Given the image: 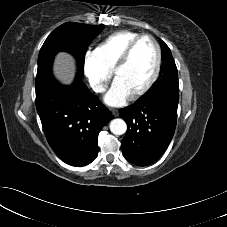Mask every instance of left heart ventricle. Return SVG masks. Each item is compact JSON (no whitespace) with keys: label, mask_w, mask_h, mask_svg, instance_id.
Masks as SVG:
<instances>
[{"label":"left heart ventricle","mask_w":227,"mask_h":227,"mask_svg":"<svg viewBox=\"0 0 227 227\" xmlns=\"http://www.w3.org/2000/svg\"><path fill=\"white\" fill-rule=\"evenodd\" d=\"M156 61L155 46L145 39L137 45L128 64L118 72L115 80L131 95L149 81L154 73Z\"/></svg>","instance_id":"obj_1"}]
</instances>
